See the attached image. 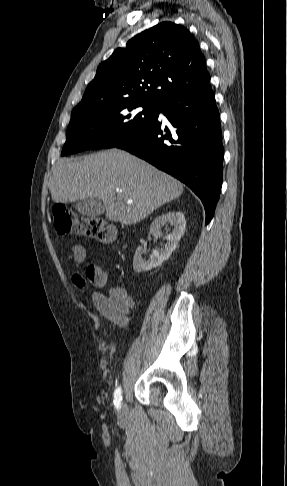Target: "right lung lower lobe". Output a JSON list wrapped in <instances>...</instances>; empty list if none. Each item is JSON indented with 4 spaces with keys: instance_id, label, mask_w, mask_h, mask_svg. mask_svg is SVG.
I'll use <instances>...</instances> for the list:
<instances>
[{
    "instance_id": "98d812e1",
    "label": "right lung lower lobe",
    "mask_w": 287,
    "mask_h": 486,
    "mask_svg": "<svg viewBox=\"0 0 287 486\" xmlns=\"http://www.w3.org/2000/svg\"><path fill=\"white\" fill-rule=\"evenodd\" d=\"M160 112L169 126L158 118ZM115 147L185 183L201 199L206 224L210 222L221 192L223 145L219 111L209 83L158 103L155 117Z\"/></svg>"
}]
</instances>
